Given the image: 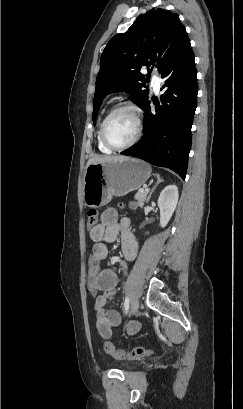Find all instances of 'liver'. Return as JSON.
Segmentation results:
<instances>
[{
  "label": "liver",
  "instance_id": "6515ba94",
  "mask_svg": "<svg viewBox=\"0 0 243 409\" xmlns=\"http://www.w3.org/2000/svg\"><path fill=\"white\" fill-rule=\"evenodd\" d=\"M123 156H115V157H110V156H99V157H93L88 160L87 166L93 163H104V162H109L112 160H116L119 158H122Z\"/></svg>",
  "mask_w": 243,
  "mask_h": 409
}]
</instances>
